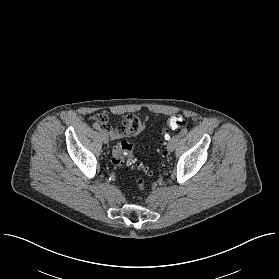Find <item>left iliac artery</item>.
Returning <instances> with one entry per match:
<instances>
[{
    "mask_svg": "<svg viewBox=\"0 0 279 279\" xmlns=\"http://www.w3.org/2000/svg\"><path fill=\"white\" fill-rule=\"evenodd\" d=\"M187 132H188V130H187L186 128L182 129L181 132H180V136L186 135ZM165 139H166V140H169V139H170V136H169V135H166V136H165Z\"/></svg>",
    "mask_w": 279,
    "mask_h": 279,
    "instance_id": "1",
    "label": "left iliac artery"
}]
</instances>
